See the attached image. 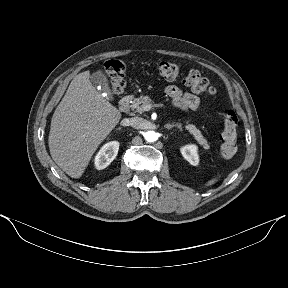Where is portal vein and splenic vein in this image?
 I'll use <instances>...</instances> for the list:
<instances>
[{
  "mask_svg": "<svg viewBox=\"0 0 288 288\" xmlns=\"http://www.w3.org/2000/svg\"><path fill=\"white\" fill-rule=\"evenodd\" d=\"M145 109H146L147 111L150 110V109H151V105L149 104V105L145 106Z\"/></svg>",
  "mask_w": 288,
  "mask_h": 288,
  "instance_id": "portal-vein-and-splenic-vein-1",
  "label": "portal vein and splenic vein"
}]
</instances>
